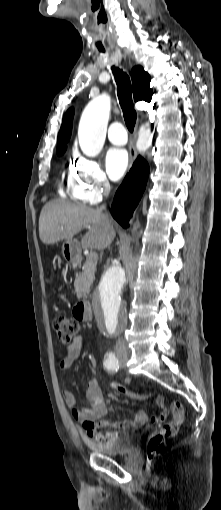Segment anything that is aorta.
Returning a JSON list of instances; mask_svg holds the SVG:
<instances>
[{"label":"aorta","instance_id":"762f6f07","mask_svg":"<svg viewBox=\"0 0 221 510\" xmlns=\"http://www.w3.org/2000/svg\"><path fill=\"white\" fill-rule=\"evenodd\" d=\"M110 98L106 94L93 99L84 109L78 128L79 145L84 154L94 157L103 148L110 115ZM150 145L149 130L139 134L137 146L147 149ZM126 286L123 267L117 263L109 267L93 295L95 313L102 329L109 335L119 332L125 324L126 309L122 292Z\"/></svg>","mask_w":221,"mask_h":510}]
</instances>
